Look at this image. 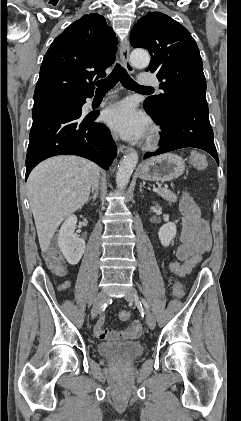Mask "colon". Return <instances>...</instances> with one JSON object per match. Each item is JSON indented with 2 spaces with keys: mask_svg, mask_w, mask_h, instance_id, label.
Returning <instances> with one entry per match:
<instances>
[{
  "mask_svg": "<svg viewBox=\"0 0 241 421\" xmlns=\"http://www.w3.org/2000/svg\"><path fill=\"white\" fill-rule=\"evenodd\" d=\"M53 1L54 0H49L50 3ZM190 162L195 168L199 170H204L208 165L206 156L200 152H193L190 155ZM44 258L48 268L54 274L63 275L65 273L64 262L57 249H47L44 253ZM201 259L202 255H193L186 260H182L181 262L170 263L168 265V269L176 276H186L201 262ZM173 291L177 297H182L184 295V287L179 282L174 285ZM119 318L123 321H127L130 319V313L127 310H121L119 312Z\"/></svg>",
  "mask_w": 241,
  "mask_h": 421,
  "instance_id": "5ec220e1",
  "label": "colon"
}]
</instances>
